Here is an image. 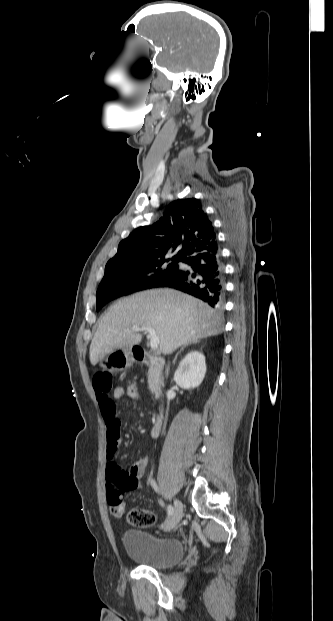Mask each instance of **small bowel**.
<instances>
[{
	"label": "small bowel",
	"instance_id": "c3829d8e",
	"mask_svg": "<svg viewBox=\"0 0 333 621\" xmlns=\"http://www.w3.org/2000/svg\"><path fill=\"white\" fill-rule=\"evenodd\" d=\"M94 386L99 402L101 415L105 421L107 437L106 456L111 463L113 462L118 447L122 441L120 434V421L117 417L114 399L123 398L124 389L121 386H117L111 394L112 378L110 374L106 371H101L96 374L94 379ZM145 467L146 459L142 457L135 460L131 464L130 468L127 470L134 482L133 488L131 490L141 488V479L144 474ZM126 492L128 491L117 488L108 478L107 503L110 509L113 507L124 508V496Z\"/></svg>",
	"mask_w": 333,
	"mask_h": 621
}]
</instances>
